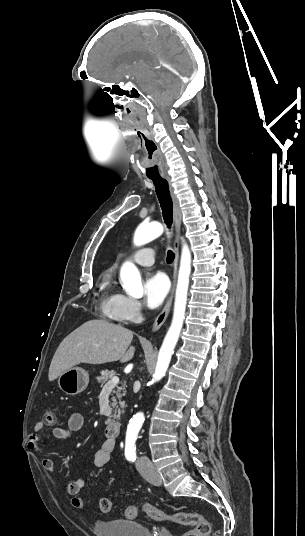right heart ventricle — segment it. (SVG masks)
Returning a JSON list of instances; mask_svg holds the SVG:
<instances>
[{"instance_id": "1", "label": "right heart ventricle", "mask_w": 305, "mask_h": 536, "mask_svg": "<svg viewBox=\"0 0 305 536\" xmlns=\"http://www.w3.org/2000/svg\"><path fill=\"white\" fill-rule=\"evenodd\" d=\"M120 294L118 293L112 276L109 273L103 275L100 291H99V303L106 311L109 318L115 321H121L115 309L118 305Z\"/></svg>"}]
</instances>
